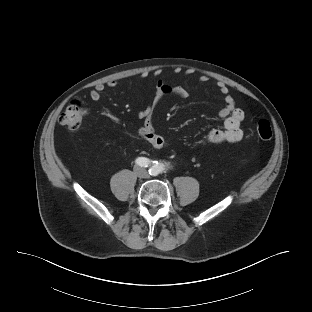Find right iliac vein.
<instances>
[{"mask_svg":"<svg viewBox=\"0 0 312 312\" xmlns=\"http://www.w3.org/2000/svg\"><path fill=\"white\" fill-rule=\"evenodd\" d=\"M136 172L140 173L141 169L140 168H136Z\"/></svg>","mask_w":312,"mask_h":312,"instance_id":"right-iliac-vein-1","label":"right iliac vein"}]
</instances>
